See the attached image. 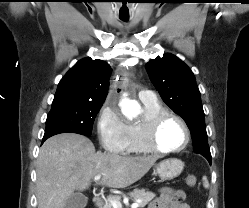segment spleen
I'll return each mask as SVG.
<instances>
[{"label": "spleen", "mask_w": 249, "mask_h": 208, "mask_svg": "<svg viewBox=\"0 0 249 208\" xmlns=\"http://www.w3.org/2000/svg\"><path fill=\"white\" fill-rule=\"evenodd\" d=\"M203 186H204L205 188H208V187H209L208 180H207V178H206L205 176L203 177Z\"/></svg>", "instance_id": "1"}]
</instances>
